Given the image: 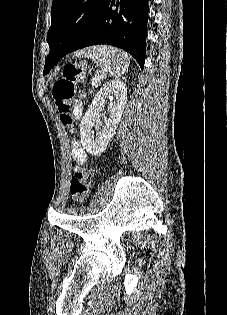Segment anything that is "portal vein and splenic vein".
<instances>
[{
    "mask_svg": "<svg viewBox=\"0 0 227 315\" xmlns=\"http://www.w3.org/2000/svg\"><path fill=\"white\" fill-rule=\"evenodd\" d=\"M100 83V76H95L92 81V85H98Z\"/></svg>",
    "mask_w": 227,
    "mask_h": 315,
    "instance_id": "1",
    "label": "portal vein and splenic vein"
}]
</instances>
